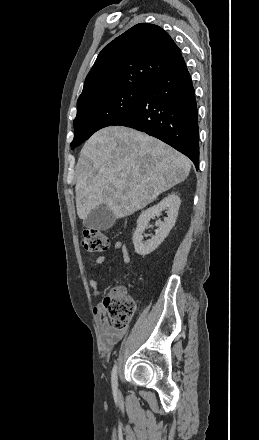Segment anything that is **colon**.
<instances>
[{
  "label": "colon",
  "instance_id": "colon-1",
  "mask_svg": "<svg viewBox=\"0 0 259 440\" xmlns=\"http://www.w3.org/2000/svg\"><path fill=\"white\" fill-rule=\"evenodd\" d=\"M82 245L86 251L101 252L108 249L109 239L101 231L87 228L83 231ZM102 306L115 329H125L135 311L134 301L119 286L104 296Z\"/></svg>",
  "mask_w": 259,
  "mask_h": 440
}]
</instances>
